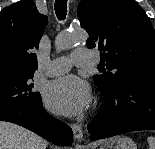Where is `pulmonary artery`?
<instances>
[{
	"instance_id": "pulmonary-artery-1",
	"label": "pulmonary artery",
	"mask_w": 155,
	"mask_h": 149,
	"mask_svg": "<svg viewBox=\"0 0 155 149\" xmlns=\"http://www.w3.org/2000/svg\"><path fill=\"white\" fill-rule=\"evenodd\" d=\"M95 63V54L89 49L80 48L74 50L71 57H59L51 61L45 70V75L56 76L68 72L72 65L90 66Z\"/></svg>"
}]
</instances>
